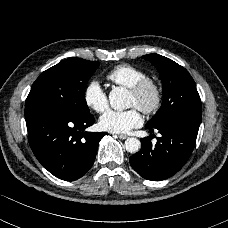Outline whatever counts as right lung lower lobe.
I'll list each match as a JSON object with an SVG mask.
<instances>
[{
  "label": "right lung lower lobe",
  "mask_w": 228,
  "mask_h": 228,
  "mask_svg": "<svg viewBox=\"0 0 228 228\" xmlns=\"http://www.w3.org/2000/svg\"><path fill=\"white\" fill-rule=\"evenodd\" d=\"M28 140L38 161L66 181L82 177L92 166L106 132H87L95 119L55 106L25 110Z\"/></svg>",
  "instance_id": "98d812e1"
}]
</instances>
